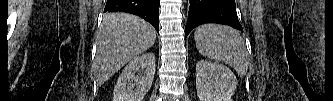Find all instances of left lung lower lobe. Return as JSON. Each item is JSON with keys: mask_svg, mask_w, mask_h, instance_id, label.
I'll return each instance as SVG.
<instances>
[{"mask_svg": "<svg viewBox=\"0 0 333 101\" xmlns=\"http://www.w3.org/2000/svg\"><path fill=\"white\" fill-rule=\"evenodd\" d=\"M205 23L225 24L242 31L235 0H190L185 37L192 29Z\"/></svg>", "mask_w": 333, "mask_h": 101, "instance_id": "obj_1", "label": "left lung lower lobe"}]
</instances>
